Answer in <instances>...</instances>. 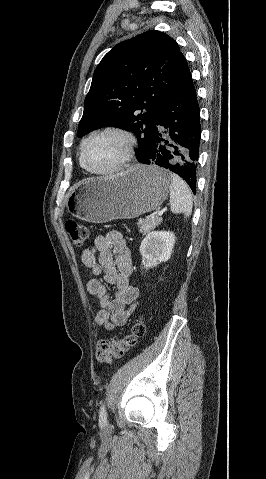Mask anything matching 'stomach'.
I'll return each mask as SVG.
<instances>
[{
  "label": "stomach",
  "instance_id": "stomach-1",
  "mask_svg": "<svg viewBox=\"0 0 266 479\" xmlns=\"http://www.w3.org/2000/svg\"><path fill=\"white\" fill-rule=\"evenodd\" d=\"M171 173L156 165L138 164L124 173L89 179L67 195V211L91 222L131 219L157 209L168 196Z\"/></svg>",
  "mask_w": 266,
  "mask_h": 479
}]
</instances>
